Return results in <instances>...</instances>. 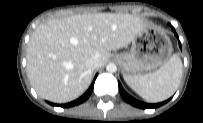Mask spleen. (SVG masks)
<instances>
[{
  "label": "spleen",
  "instance_id": "spleen-1",
  "mask_svg": "<svg viewBox=\"0 0 203 123\" xmlns=\"http://www.w3.org/2000/svg\"><path fill=\"white\" fill-rule=\"evenodd\" d=\"M182 77V61L178 54L153 73L139 76L125 75L126 83L144 100L161 102L174 94Z\"/></svg>",
  "mask_w": 203,
  "mask_h": 123
}]
</instances>
